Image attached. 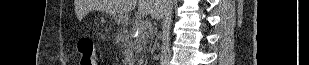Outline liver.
Here are the masks:
<instances>
[{"mask_svg":"<svg viewBox=\"0 0 309 65\" xmlns=\"http://www.w3.org/2000/svg\"><path fill=\"white\" fill-rule=\"evenodd\" d=\"M85 8H93L101 12L112 14H126L135 9L138 3V11L143 15H150L154 19L163 17L166 4L162 0H96L90 5L80 2Z\"/></svg>","mask_w":309,"mask_h":65,"instance_id":"1","label":"liver"}]
</instances>
